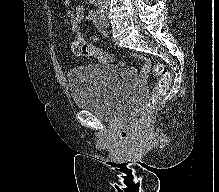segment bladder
Returning a JSON list of instances; mask_svg holds the SVG:
<instances>
[{"instance_id": "1", "label": "bladder", "mask_w": 219, "mask_h": 192, "mask_svg": "<svg viewBox=\"0 0 219 192\" xmlns=\"http://www.w3.org/2000/svg\"><path fill=\"white\" fill-rule=\"evenodd\" d=\"M67 79L74 106L107 122L133 118L144 100V89L116 64L78 66L68 72Z\"/></svg>"}]
</instances>
